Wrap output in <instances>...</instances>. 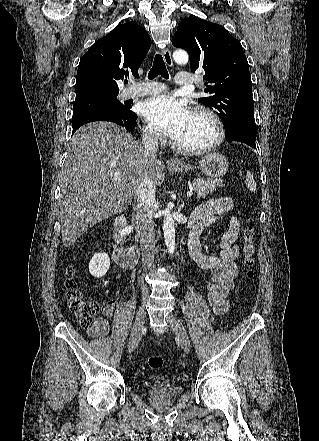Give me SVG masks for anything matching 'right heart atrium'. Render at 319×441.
Masks as SVG:
<instances>
[{
    "label": "right heart atrium",
    "instance_id": "1",
    "mask_svg": "<svg viewBox=\"0 0 319 441\" xmlns=\"http://www.w3.org/2000/svg\"><path fill=\"white\" fill-rule=\"evenodd\" d=\"M143 137L150 143H158L162 140L161 135L148 125H144L143 127Z\"/></svg>",
    "mask_w": 319,
    "mask_h": 441
}]
</instances>
